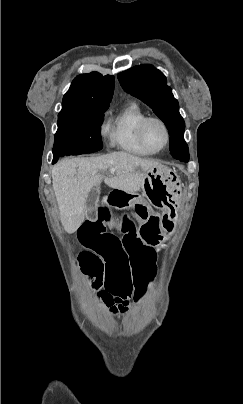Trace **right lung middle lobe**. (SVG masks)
Listing matches in <instances>:
<instances>
[{"instance_id": "1", "label": "right lung middle lobe", "mask_w": 243, "mask_h": 404, "mask_svg": "<svg viewBox=\"0 0 243 404\" xmlns=\"http://www.w3.org/2000/svg\"><path fill=\"white\" fill-rule=\"evenodd\" d=\"M108 107L98 110H70L58 114L53 163L59 157L93 153L102 149L100 125Z\"/></svg>"}]
</instances>
